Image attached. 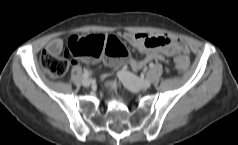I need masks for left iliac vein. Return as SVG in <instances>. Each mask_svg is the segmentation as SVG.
<instances>
[{
    "instance_id": "4c4485c4",
    "label": "left iliac vein",
    "mask_w": 238,
    "mask_h": 145,
    "mask_svg": "<svg viewBox=\"0 0 238 145\" xmlns=\"http://www.w3.org/2000/svg\"><path fill=\"white\" fill-rule=\"evenodd\" d=\"M119 80L123 83L125 87L130 89L131 91H139L142 89H147L151 86V81L148 79H139L135 75L126 72L120 71L118 73Z\"/></svg>"
}]
</instances>
